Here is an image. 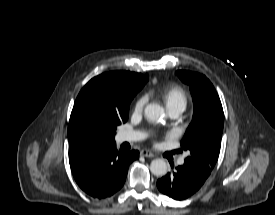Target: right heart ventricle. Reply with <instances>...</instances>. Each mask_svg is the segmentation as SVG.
Returning <instances> with one entry per match:
<instances>
[{
	"label": "right heart ventricle",
	"instance_id": "right-heart-ventricle-1",
	"mask_svg": "<svg viewBox=\"0 0 275 215\" xmlns=\"http://www.w3.org/2000/svg\"><path fill=\"white\" fill-rule=\"evenodd\" d=\"M159 95L165 102L168 109L173 107H186L187 96L185 91L176 85L167 86L159 91Z\"/></svg>",
	"mask_w": 275,
	"mask_h": 215
}]
</instances>
